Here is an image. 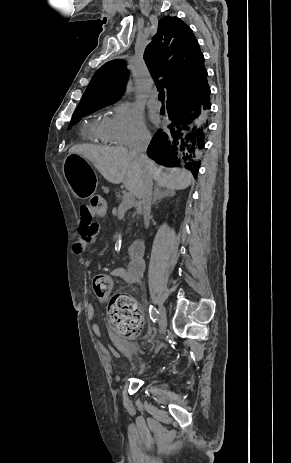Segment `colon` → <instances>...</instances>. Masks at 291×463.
Returning <instances> with one entry per match:
<instances>
[{
	"instance_id": "1",
	"label": "colon",
	"mask_w": 291,
	"mask_h": 463,
	"mask_svg": "<svg viewBox=\"0 0 291 463\" xmlns=\"http://www.w3.org/2000/svg\"><path fill=\"white\" fill-rule=\"evenodd\" d=\"M90 206L96 210L98 217H103L106 202L102 197L95 196ZM94 294L99 299H107L113 290V281L108 275H97L92 281ZM108 317L114 331L122 336H133L139 332L141 314L138 304L127 296H113L108 305Z\"/></svg>"
}]
</instances>
